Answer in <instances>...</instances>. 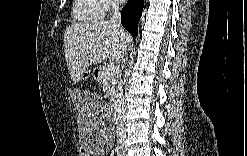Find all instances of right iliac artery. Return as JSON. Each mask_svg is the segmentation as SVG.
<instances>
[{"label":"right iliac artery","instance_id":"82829eb1","mask_svg":"<svg viewBox=\"0 0 247 156\" xmlns=\"http://www.w3.org/2000/svg\"><path fill=\"white\" fill-rule=\"evenodd\" d=\"M116 151H117V155L118 156H121L122 155L121 147L119 145L116 147Z\"/></svg>","mask_w":247,"mask_h":156}]
</instances>
